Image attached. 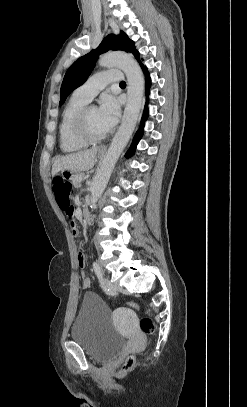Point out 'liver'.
<instances>
[{
  "mask_svg": "<svg viewBox=\"0 0 247 407\" xmlns=\"http://www.w3.org/2000/svg\"><path fill=\"white\" fill-rule=\"evenodd\" d=\"M97 151L98 148H92L56 158L52 165V176L64 170L71 172L90 170L95 164Z\"/></svg>",
  "mask_w": 247,
  "mask_h": 407,
  "instance_id": "1",
  "label": "liver"
}]
</instances>
